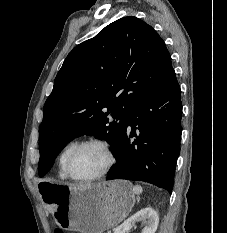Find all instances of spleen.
<instances>
[{"instance_id":"3e777b00","label":"spleen","mask_w":227,"mask_h":233,"mask_svg":"<svg viewBox=\"0 0 227 233\" xmlns=\"http://www.w3.org/2000/svg\"><path fill=\"white\" fill-rule=\"evenodd\" d=\"M142 191H143V190H142V187L139 186V185H135V186L133 187V192H134L135 194H137V195L141 194Z\"/></svg>"}]
</instances>
